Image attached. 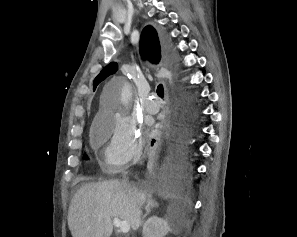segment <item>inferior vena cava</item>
<instances>
[{"label": "inferior vena cava", "instance_id": "obj_1", "mask_svg": "<svg viewBox=\"0 0 297 237\" xmlns=\"http://www.w3.org/2000/svg\"><path fill=\"white\" fill-rule=\"evenodd\" d=\"M123 184H124L126 187H129L128 179H127V178H125V179L123 180Z\"/></svg>", "mask_w": 297, "mask_h": 237}]
</instances>
